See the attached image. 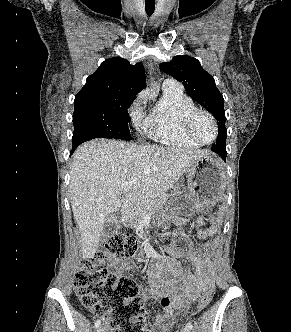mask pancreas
I'll return each instance as SVG.
<instances>
[{
    "label": "pancreas",
    "instance_id": "obj_1",
    "mask_svg": "<svg viewBox=\"0 0 291 332\" xmlns=\"http://www.w3.org/2000/svg\"><path fill=\"white\" fill-rule=\"evenodd\" d=\"M167 199V194L157 193L151 196H146L143 200H141L140 204L135 209L133 218L130 220L131 228L140 230V224L144 216L149 212L154 213L161 209L167 202Z\"/></svg>",
    "mask_w": 291,
    "mask_h": 332
}]
</instances>
